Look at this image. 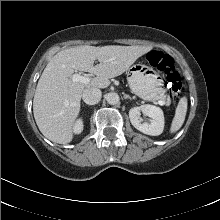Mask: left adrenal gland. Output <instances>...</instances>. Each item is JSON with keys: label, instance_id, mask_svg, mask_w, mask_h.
I'll return each mask as SVG.
<instances>
[{"label": "left adrenal gland", "instance_id": "left-adrenal-gland-1", "mask_svg": "<svg viewBox=\"0 0 220 220\" xmlns=\"http://www.w3.org/2000/svg\"><path fill=\"white\" fill-rule=\"evenodd\" d=\"M124 99H130V100H132L133 98H131L129 95H124Z\"/></svg>", "mask_w": 220, "mask_h": 220}]
</instances>
